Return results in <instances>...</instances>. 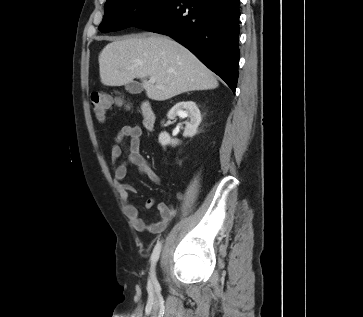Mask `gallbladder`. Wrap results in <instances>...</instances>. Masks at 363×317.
I'll return each mask as SVG.
<instances>
[{
  "instance_id": "gallbladder-1",
  "label": "gallbladder",
  "mask_w": 363,
  "mask_h": 317,
  "mask_svg": "<svg viewBox=\"0 0 363 317\" xmlns=\"http://www.w3.org/2000/svg\"><path fill=\"white\" fill-rule=\"evenodd\" d=\"M125 89L130 94H139L143 91V86L138 82H130L125 85Z\"/></svg>"
}]
</instances>
